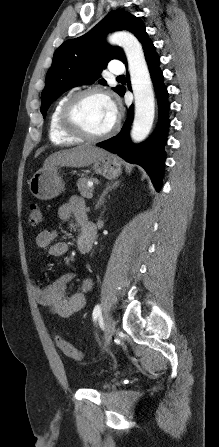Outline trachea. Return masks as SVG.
<instances>
[{
  "instance_id": "obj_1",
  "label": "trachea",
  "mask_w": 219,
  "mask_h": 447,
  "mask_svg": "<svg viewBox=\"0 0 219 447\" xmlns=\"http://www.w3.org/2000/svg\"><path fill=\"white\" fill-rule=\"evenodd\" d=\"M125 78L124 75L118 76L117 79Z\"/></svg>"
}]
</instances>
